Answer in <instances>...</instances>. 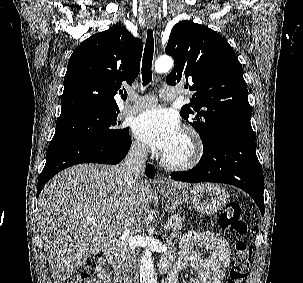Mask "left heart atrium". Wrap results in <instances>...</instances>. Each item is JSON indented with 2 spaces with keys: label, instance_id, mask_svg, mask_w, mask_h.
Masks as SVG:
<instances>
[{
  "label": "left heart atrium",
  "instance_id": "39dd6f15",
  "mask_svg": "<svg viewBox=\"0 0 303 283\" xmlns=\"http://www.w3.org/2000/svg\"><path fill=\"white\" fill-rule=\"evenodd\" d=\"M134 133L153 149L166 154L180 140L182 129L176 114L157 106L136 119Z\"/></svg>",
  "mask_w": 303,
  "mask_h": 283
}]
</instances>
